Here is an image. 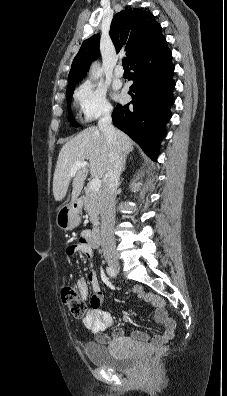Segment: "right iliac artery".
Instances as JSON below:
<instances>
[{
  "mask_svg": "<svg viewBox=\"0 0 227 396\" xmlns=\"http://www.w3.org/2000/svg\"><path fill=\"white\" fill-rule=\"evenodd\" d=\"M106 271H107V274L109 275V276H111V277H116V272H115V270L114 269H112L111 267H107L106 268Z\"/></svg>",
  "mask_w": 227,
  "mask_h": 396,
  "instance_id": "right-iliac-artery-1",
  "label": "right iliac artery"
}]
</instances>
